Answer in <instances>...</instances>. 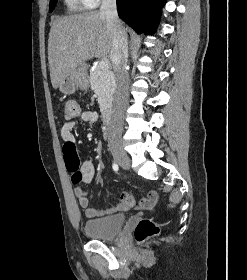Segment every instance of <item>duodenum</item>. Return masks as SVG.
Masks as SVG:
<instances>
[{"mask_svg":"<svg viewBox=\"0 0 247 280\" xmlns=\"http://www.w3.org/2000/svg\"><path fill=\"white\" fill-rule=\"evenodd\" d=\"M103 120L106 123H110L112 119V110L110 108H105L102 112Z\"/></svg>","mask_w":247,"mask_h":280,"instance_id":"obj_1","label":"duodenum"}]
</instances>
